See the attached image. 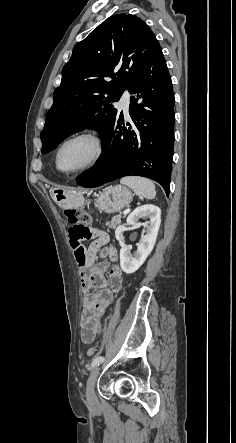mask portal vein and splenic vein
<instances>
[{
    "label": "portal vein and splenic vein",
    "instance_id": "obj_1",
    "mask_svg": "<svg viewBox=\"0 0 236 443\" xmlns=\"http://www.w3.org/2000/svg\"><path fill=\"white\" fill-rule=\"evenodd\" d=\"M129 211H130L129 209H128V210H125V211L123 212V214H124V215H127V214L129 213Z\"/></svg>",
    "mask_w": 236,
    "mask_h": 443
}]
</instances>
